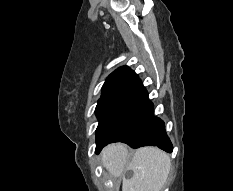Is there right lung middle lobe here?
I'll use <instances>...</instances> for the list:
<instances>
[{"mask_svg": "<svg viewBox=\"0 0 233 191\" xmlns=\"http://www.w3.org/2000/svg\"><path fill=\"white\" fill-rule=\"evenodd\" d=\"M127 105V96H119L103 101H99L96 106V116L99 120L96 129V141L106 132V130L115 122Z\"/></svg>", "mask_w": 233, "mask_h": 191, "instance_id": "right-lung-middle-lobe-1", "label": "right lung middle lobe"}]
</instances>
